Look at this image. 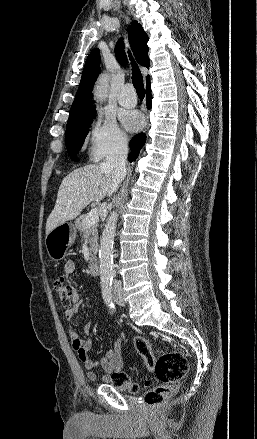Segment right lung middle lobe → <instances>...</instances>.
I'll use <instances>...</instances> for the list:
<instances>
[{
    "instance_id": "obj_1",
    "label": "right lung middle lobe",
    "mask_w": 257,
    "mask_h": 439,
    "mask_svg": "<svg viewBox=\"0 0 257 439\" xmlns=\"http://www.w3.org/2000/svg\"><path fill=\"white\" fill-rule=\"evenodd\" d=\"M94 116L95 113H91L69 119L67 122L65 141L67 150L74 161H76L77 152L82 147Z\"/></svg>"
}]
</instances>
